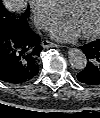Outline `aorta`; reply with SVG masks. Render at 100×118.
<instances>
[{"label": "aorta", "instance_id": "762f6f07", "mask_svg": "<svg viewBox=\"0 0 100 118\" xmlns=\"http://www.w3.org/2000/svg\"><path fill=\"white\" fill-rule=\"evenodd\" d=\"M69 63L72 68L83 70L87 64V58L84 52L80 49L73 48L68 52Z\"/></svg>", "mask_w": 100, "mask_h": 118}]
</instances>
